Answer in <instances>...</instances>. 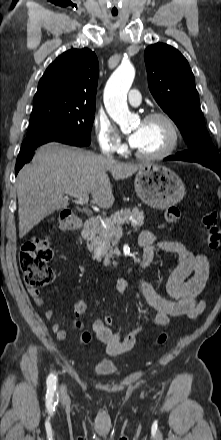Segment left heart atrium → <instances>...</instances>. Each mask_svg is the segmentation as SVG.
Segmentation results:
<instances>
[{"instance_id":"obj_1","label":"left heart atrium","mask_w":221,"mask_h":440,"mask_svg":"<svg viewBox=\"0 0 221 440\" xmlns=\"http://www.w3.org/2000/svg\"><path fill=\"white\" fill-rule=\"evenodd\" d=\"M143 134V127L140 126L138 129H136L130 136H129V142L132 146L138 147L141 137Z\"/></svg>"}]
</instances>
